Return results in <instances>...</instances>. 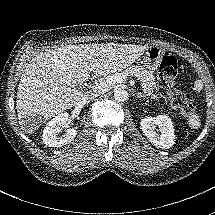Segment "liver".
Returning <instances> with one entry per match:
<instances>
[{"label":"liver","instance_id":"1","mask_svg":"<svg viewBox=\"0 0 215 215\" xmlns=\"http://www.w3.org/2000/svg\"><path fill=\"white\" fill-rule=\"evenodd\" d=\"M149 46L115 42L65 45L35 55L16 93L21 129L32 134L45 121L81 101L90 73L107 76L138 60ZM92 89H95L92 87Z\"/></svg>","mask_w":215,"mask_h":215}]
</instances>
